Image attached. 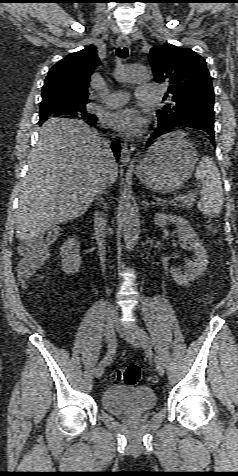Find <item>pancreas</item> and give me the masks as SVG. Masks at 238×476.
<instances>
[{"label":"pancreas","mask_w":238,"mask_h":476,"mask_svg":"<svg viewBox=\"0 0 238 476\" xmlns=\"http://www.w3.org/2000/svg\"><path fill=\"white\" fill-rule=\"evenodd\" d=\"M195 198V194H187L186 198L181 200L177 207L180 209H191L195 203Z\"/></svg>","instance_id":"cf45deb5"}]
</instances>
